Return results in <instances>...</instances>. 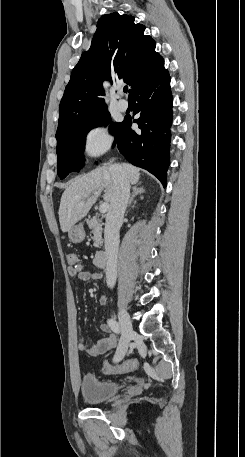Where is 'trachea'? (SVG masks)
Wrapping results in <instances>:
<instances>
[{"mask_svg":"<svg viewBox=\"0 0 245 457\" xmlns=\"http://www.w3.org/2000/svg\"><path fill=\"white\" fill-rule=\"evenodd\" d=\"M124 92L126 93L128 91V87H124Z\"/></svg>","mask_w":245,"mask_h":457,"instance_id":"obj_1","label":"trachea"}]
</instances>
